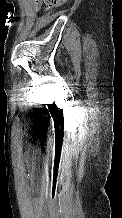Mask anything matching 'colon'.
Here are the masks:
<instances>
[{"mask_svg":"<svg viewBox=\"0 0 122 218\" xmlns=\"http://www.w3.org/2000/svg\"><path fill=\"white\" fill-rule=\"evenodd\" d=\"M60 0H43L47 9H53Z\"/></svg>","mask_w":122,"mask_h":218,"instance_id":"1","label":"colon"}]
</instances>
